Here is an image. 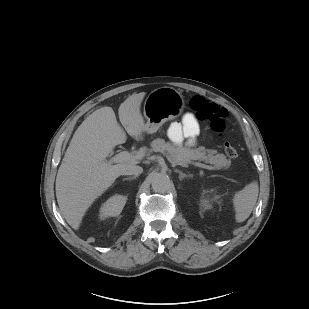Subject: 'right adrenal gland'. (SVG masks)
I'll use <instances>...</instances> for the list:
<instances>
[{
    "label": "right adrenal gland",
    "mask_w": 309,
    "mask_h": 309,
    "mask_svg": "<svg viewBox=\"0 0 309 309\" xmlns=\"http://www.w3.org/2000/svg\"><path fill=\"white\" fill-rule=\"evenodd\" d=\"M136 177H137V176L123 178V181H125V180H133V179H136Z\"/></svg>",
    "instance_id": "2a0ac1e0"
}]
</instances>
